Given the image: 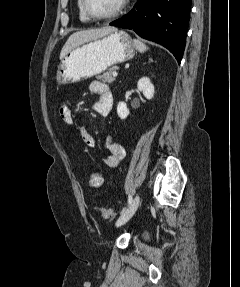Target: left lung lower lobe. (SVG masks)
<instances>
[{
	"label": "left lung lower lobe",
	"instance_id": "obj_1",
	"mask_svg": "<svg viewBox=\"0 0 240 287\" xmlns=\"http://www.w3.org/2000/svg\"><path fill=\"white\" fill-rule=\"evenodd\" d=\"M191 0H138L112 26L132 29L144 39L166 47L180 64L189 24Z\"/></svg>",
	"mask_w": 240,
	"mask_h": 287
}]
</instances>
